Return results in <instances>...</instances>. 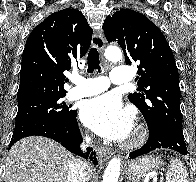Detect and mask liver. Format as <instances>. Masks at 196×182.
Listing matches in <instances>:
<instances>
[{"instance_id": "obj_1", "label": "liver", "mask_w": 196, "mask_h": 182, "mask_svg": "<svg viewBox=\"0 0 196 182\" xmlns=\"http://www.w3.org/2000/svg\"><path fill=\"white\" fill-rule=\"evenodd\" d=\"M74 155L57 142L31 136L15 143L7 156L5 182H67ZM94 171L91 165L86 174Z\"/></svg>"}]
</instances>
